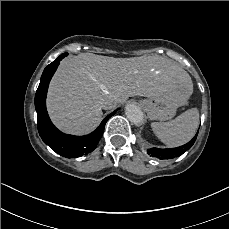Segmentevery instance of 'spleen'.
<instances>
[{"label":"spleen","instance_id":"3e777b00","mask_svg":"<svg viewBox=\"0 0 229 229\" xmlns=\"http://www.w3.org/2000/svg\"><path fill=\"white\" fill-rule=\"evenodd\" d=\"M198 124V110L191 108L173 120L151 123V129L162 143L174 147L188 142L194 136Z\"/></svg>","mask_w":229,"mask_h":229}]
</instances>
